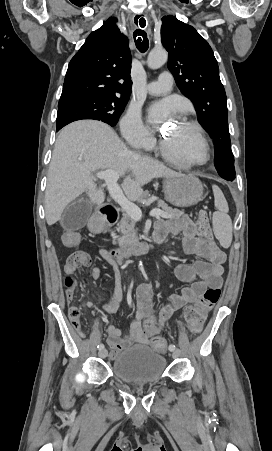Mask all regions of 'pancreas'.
<instances>
[{"mask_svg":"<svg viewBox=\"0 0 272 451\" xmlns=\"http://www.w3.org/2000/svg\"><path fill=\"white\" fill-rule=\"evenodd\" d=\"M145 198H147V194H143L139 202H141V200H145ZM157 208L158 210L161 208L163 212H166L167 216H170L171 220H174V218H181L184 214L183 210H173V208H169L168 204L161 202V200H159ZM135 224V220H132L129 214H123L122 220H120L119 224H117V231L122 233L121 237H117L121 249H126V247H129L132 241H138Z\"/></svg>","mask_w":272,"mask_h":451,"instance_id":"pancreas-1","label":"pancreas"}]
</instances>
